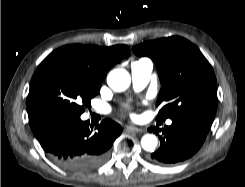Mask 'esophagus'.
I'll list each match as a JSON object with an SVG mask.
<instances>
[{
  "mask_svg": "<svg viewBox=\"0 0 245 187\" xmlns=\"http://www.w3.org/2000/svg\"><path fill=\"white\" fill-rule=\"evenodd\" d=\"M125 130L128 132H133V133H138V132H142L143 129L139 128V127H134V126H126Z\"/></svg>",
  "mask_w": 245,
  "mask_h": 187,
  "instance_id": "34e87169",
  "label": "esophagus"
}]
</instances>
